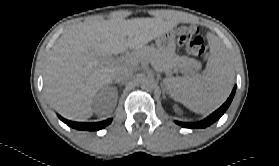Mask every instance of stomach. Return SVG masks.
Masks as SVG:
<instances>
[{
	"label": "stomach",
	"mask_w": 279,
	"mask_h": 166,
	"mask_svg": "<svg viewBox=\"0 0 279 166\" xmlns=\"http://www.w3.org/2000/svg\"><path fill=\"white\" fill-rule=\"evenodd\" d=\"M156 45L158 49L165 53L174 54L175 52V33L170 30L156 38Z\"/></svg>",
	"instance_id": "0dacf381"
}]
</instances>
